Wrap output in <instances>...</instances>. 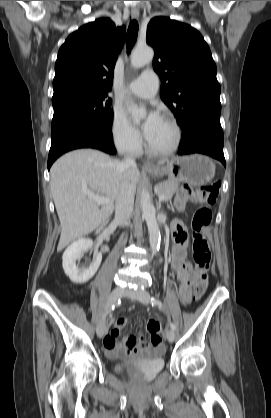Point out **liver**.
Wrapping results in <instances>:
<instances>
[{"mask_svg":"<svg viewBox=\"0 0 271 418\" xmlns=\"http://www.w3.org/2000/svg\"><path fill=\"white\" fill-rule=\"evenodd\" d=\"M139 175L136 165L126 167L123 161L98 150H75L60 157L50 170L52 197L61 224L57 250L103 224L113 213L114 201L123 186L135 193ZM89 193L111 202L98 205L88 197Z\"/></svg>","mask_w":271,"mask_h":418,"instance_id":"6515ba94","label":"liver"}]
</instances>
